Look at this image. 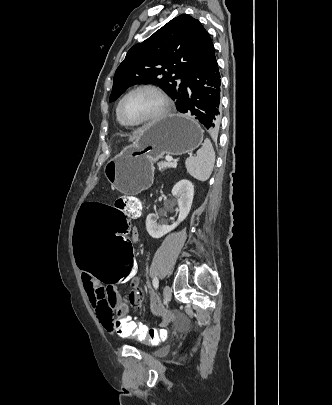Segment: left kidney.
<instances>
[{
  "instance_id": "obj_1",
  "label": "left kidney",
  "mask_w": 332,
  "mask_h": 405,
  "mask_svg": "<svg viewBox=\"0 0 332 405\" xmlns=\"http://www.w3.org/2000/svg\"><path fill=\"white\" fill-rule=\"evenodd\" d=\"M172 195L178 198V219L172 225H167L164 220L157 221L158 216L156 214H149L146 218V229L152 238H161L168 232L174 230L182 221L186 219L192 206L194 186L189 180H180L173 187Z\"/></svg>"
}]
</instances>
